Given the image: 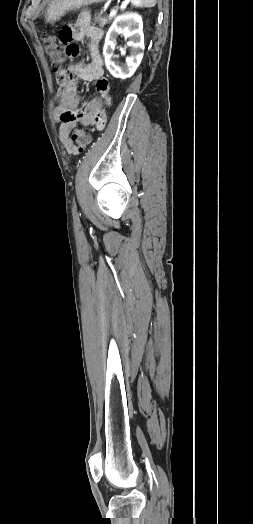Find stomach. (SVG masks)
I'll return each mask as SVG.
<instances>
[{
  "mask_svg": "<svg viewBox=\"0 0 253 524\" xmlns=\"http://www.w3.org/2000/svg\"><path fill=\"white\" fill-rule=\"evenodd\" d=\"M103 1L105 0H51L44 12L45 22L54 24L70 11Z\"/></svg>",
  "mask_w": 253,
  "mask_h": 524,
  "instance_id": "stomach-1",
  "label": "stomach"
}]
</instances>
